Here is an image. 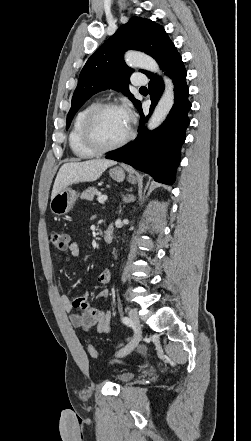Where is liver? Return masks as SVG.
<instances>
[{"mask_svg":"<svg viewBox=\"0 0 251 441\" xmlns=\"http://www.w3.org/2000/svg\"><path fill=\"white\" fill-rule=\"evenodd\" d=\"M115 164V161L106 159L65 163L61 166L56 176L51 198L69 185L79 182H91L98 179L108 167Z\"/></svg>","mask_w":251,"mask_h":441,"instance_id":"6515ba94","label":"liver"}]
</instances>
